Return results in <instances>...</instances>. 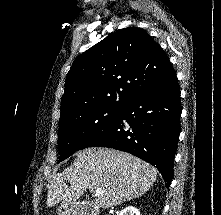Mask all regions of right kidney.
<instances>
[{"instance_id":"ca27d5eb","label":"right kidney","mask_w":221,"mask_h":215,"mask_svg":"<svg viewBox=\"0 0 221 215\" xmlns=\"http://www.w3.org/2000/svg\"><path fill=\"white\" fill-rule=\"evenodd\" d=\"M119 215H141V214L137 208L133 206H128L125 209H123Z\"/></svg>"}]
</instances>
